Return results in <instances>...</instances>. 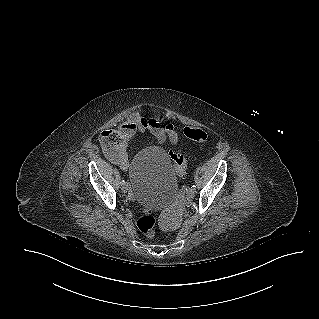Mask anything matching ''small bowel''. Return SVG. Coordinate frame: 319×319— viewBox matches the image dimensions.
Wrapping results in <instances>:
<instances>
[{"mask_svg": "<svg viewBox=\"0 0 319 319\" xmlns=\"http://www.w3.org/2000/svg\"><path fill=\"white\" fill-rule=\"evenodd\" d=\"M137 132H149L160 142L169 141L177 144L179 140L177 131L172 125L162 126L157 118L144 116L139 112H134L127 123L115 122L102 133V149L104 155L124 171L129 165L128 143Z\"/></svg>", "mask_w": 319, "mask_h": 319, "instance_id": "c3829d8e", "label": "small bowel"}]
</instances>
